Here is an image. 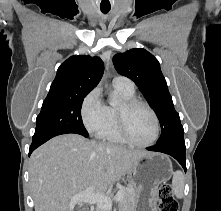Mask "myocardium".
I'll return each instance as SVG.
<instances>
[{"label": "myocardium", "mask_w": 221, "mask_h": 211, "mask_svg": "<svg viewBox=\"0 0 221 211\" xmlns=\"http://www.w3.org/2000/svg\"><path fill=\"white\" fill-rule=\"evenodd\" d=\"M144 107L146 108L150 114L153 117L154 120V125H155V134L152 140L146 143H140L135 141L128 129V124H127V114L128 112L135 108V107ZM117 122H118V128L119 132L122 136V138L129 144L137 147H149L153 145L159 138L160 135V123L158 116L156 112L153 110V108L146 102L139 100L137 98H131V99H125L122 104L117 108Z\"/></svg>", "instance_id": "1"}]
</instances>
